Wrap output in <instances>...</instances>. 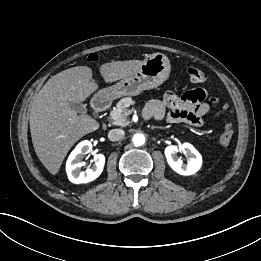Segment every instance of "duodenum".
Returning a JSON list of instances; mask_svg holds the SVG:
<instances>
[{"mask_svg": "<svg viewBox=\"0 0 261 261\" xmlns=\"http://www.w3.org/2000/svg\"><path fill=\"white\" fill-rule=\"evenodd\" d=\"M111 101L106 96H98L92 102V108L96 113L103 112L109 108Z\"/></svg>", "mask_w": 261, "mask_h": 261, "instance_id": "duodenum-1", "label": "duodenum"}]
</instances>
